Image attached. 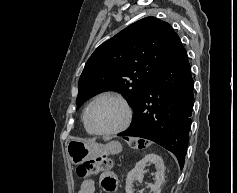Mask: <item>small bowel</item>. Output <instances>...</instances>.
Here are the masks:
<instances>
[{
	"label": "small bowel",
	"mask_w": 237,
	"mask_h": 193,
	"mask_svg": "<svg viewBox=\"0 0 237 193\" xmlns=\"http://www.w3.org/2000/svg\"><path fill=\"white\" fill-rule=\"evenodd\" d=\"M117 178L114 172L105 171L101 174V184L105 192L114 193L116 189ZM78 193H95V184L92 180L84 181Z\"/></svg>",
	"instance_id": "1"
}]
</instances>
